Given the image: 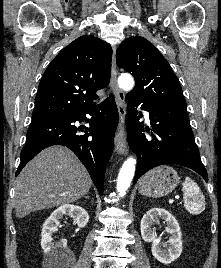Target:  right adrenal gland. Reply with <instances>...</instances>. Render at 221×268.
<instances>
[{
    "mask_svg": "<svg viewBox=\"0 0 221 268\" xmlns=\"http://www.w3.org/2000/svg\"><path fill=\"white\" fill-rule=\"evenodd\" d=\"M84 198H87V199H89V194H87L86 196H84Z\"/></svg>",
    "mask_w": 221,
    "mask_h": 268,
    "instance_id": "obj_1",
    "label": "right adrenal gland"
}]
</instances>
